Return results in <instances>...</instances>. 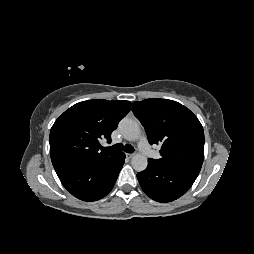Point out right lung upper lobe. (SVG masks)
Masks as SVG:
<instances>
[{"label": "right lung upper lobe", "instance_id": "obj_1", "mask_svg": "<svg viewBox=\"0 0 254 254\" xmlns=\"http://www.w3.org/2000/svg\"><path fill=\"white\" fill-rule=\"evenodd\" d=\"M125 100L95 99L66 110L50 131V156L54 167L72 161H97L117 153L100 152V140L111 142V132L130 111Z\"/></svg>", "mask_w": 254, "mask_h": 254}]
</instances>
